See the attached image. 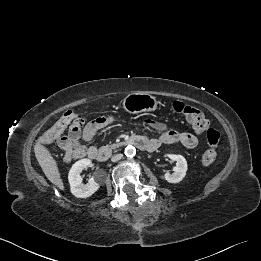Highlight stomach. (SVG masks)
Instances as JSON below:
<instances>
[{
	"label": "stomach",
	"mask_w": 261,
	"mask_h": 261,
	"mask_svg": "<svg viewBox=\"0 0 261 261\" xmlns=\"http://www.w3.org/2000/svg\"><path fill=\"white\" fill-rule=\"evenodd\" d=\"M157 105L158 102L156 98L146 93L128 94L122 102L123 109L132 114L155 111L157 109Z\"/></svg>",
	"instance_id": "1"
}]
</instances>
